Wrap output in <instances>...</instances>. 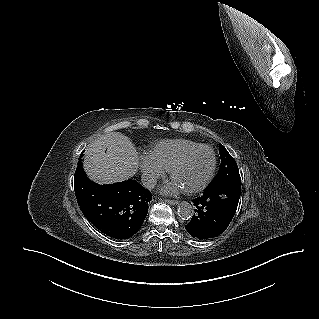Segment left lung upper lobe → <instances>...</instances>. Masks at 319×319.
<instances>
[{
	"instance_id": "obj_1",
	"label": "left lung upper lobe",
	"mask_w": 319,
	"mask_h": 319,
	"mask_svg": "<svg viewBox=\"0 0 319 319\" xmlns=\"http://www.w3.org/2000/svg\"><path fill=\"white\" fill-rule=\"evenodd\" d=\"M219 153L221 165L218 175L214 178L209 186L213 187L233 178H240L239 169L234 158L228 153L226 148L219 144Z\"/></svg>"
}]
</instances>
